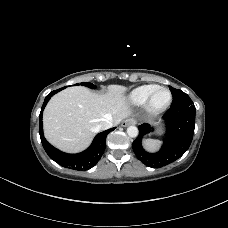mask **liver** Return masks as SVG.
Masks as SVG:
<instances>
[{
    "label": "liver",
    "instance_id": "6515ba94",
    "mask_svg": "<svg viewBox=\"0 0 228 228\" xmlns=\"http://www.w3.org/2000/svg\"><path fill=\"white\" fill-rule=\"evenodd\" d=\"M127 88L110 85L97 94L83 86L69 87L51 98L43 113L44 134L55 147L70 153L86 149L106 120L120 123L130 115Z\"/></svg>",
    "mask_w": 228,
    "mask_h": 228
}]
</instances>
